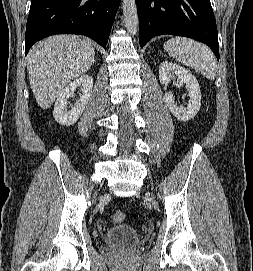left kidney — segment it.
Wrapping results in <instances>:
<instances>
[{
    "instance_id": "5707ae66",
    "label": "left kidney",
    "mask_w": 253,
    "mask_h": 271,
    "mask_svg": "<svg viewBox=\"0 0 253 271\" xmlns=\"http://www.w3.org/2000/svg\"><path fill=\"white\" fill-rule=\"evenodd\" d=\"M176 78L179 84H185L188 89L189 101L186 107L179 106L172 92L164 94V100L171 113L180 121H188L195 117L201 107V91L199 83L192 73L172 62L164 61L159 67V80L167 85L171 79Z\"/></svg>"
}]
</instances>
